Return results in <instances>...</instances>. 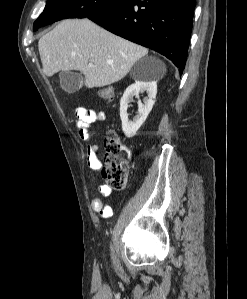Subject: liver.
Listing matches in <instances>:
<instances>
[{"label":"liver","mask_w":247,"mask_h":299,"mask_svg":"<svg viewBox=\"0 0 247 299\" xmlns=\"http://www.w3.org/2000/svg\"><path fill=\"white\" fill-rule=\"evenodd\" d=\"M43 72L78 70L88 88L104 87L123 79L148 50L114 35L89 19H67L38 42ZM93 63V66H89ZM161 68L165 71L164 65Z\"/></svg>","instance_id":"1"}]
</instances>
